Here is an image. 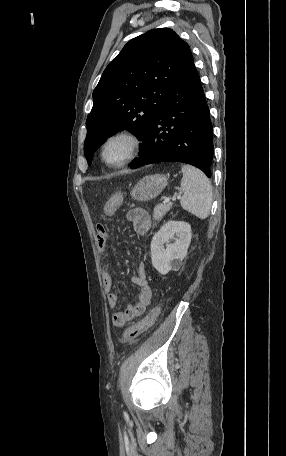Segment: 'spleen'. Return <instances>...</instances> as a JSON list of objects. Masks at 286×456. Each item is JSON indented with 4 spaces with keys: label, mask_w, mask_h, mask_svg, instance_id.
Instances as JSON below:
<instances>
[{
    "label": "spleen",
    "mask_w": 286,
    "mask_h": 456,
    "mask_svg": "<svg viewBox=\"0 0 286 456\" xmlns=\"http://www.w3.org/2000/svg\"><path fill=\"white\" fill-rule=\"evenodd\" d=\"M182 172V208L200 219H206L212 203V186L209 179L202 171L190 165H184Z\"/></svg>",
    "instance_id": "obj_1"
}]
</instances>
